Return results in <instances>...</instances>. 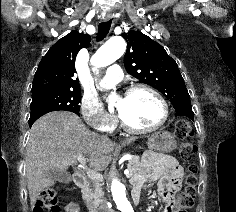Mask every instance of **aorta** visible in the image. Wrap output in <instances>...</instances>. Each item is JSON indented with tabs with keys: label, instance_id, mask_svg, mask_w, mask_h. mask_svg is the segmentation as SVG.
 Returning <instances> with one entry per match:
<instances>
[{
	"label": "aorta",
	"instance_id": "1",
	"mask_svg": "<svg viewBox=\"0 0 236 212\" xmlns=\"http://www.w3.org/2000/svg\"><path fill=\"white\" fill-rule=\"evenodd\" d=\"M126 50V43L122 37L116 36L110 38L91 58L93 71L97 68L107 66L119 59ZM114 96H110L109 101H114ZM111 193L113 200L120 212H134L132 205L126 196L125 186L118 180L111 182Z\"/></svg>",
	"mask_w": 236,
	"mask_h": 212
}]
</instances>
